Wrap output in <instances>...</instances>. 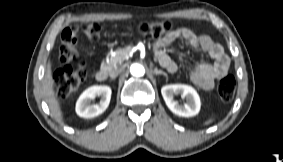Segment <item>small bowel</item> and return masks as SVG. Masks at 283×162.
I'll use <instances>...</instances> for the list:
<instances>
[{"instance_id": "small-bowel-1", "label": "small bowel", "mask_w": 283, "mask_h": 162, "mask_svg": "<svg viewBox=\"0 0 283 162\" xmlns=\"http://www.w3.org/2000/svg\"><path fill=\"white\" fill-rule=\"evenodd\" d=\"M179 39L186 40L194 49L205 52L213 63H198L191 71L192 82L203 90H211L215 81L224 77L230 67V59L223 47L215 43L208 35H199L194 30L182 27L159 38L154 44V52L160 63L169 72L177 70V64L165 52V48Z\"/></svg>"}]
</instances>
